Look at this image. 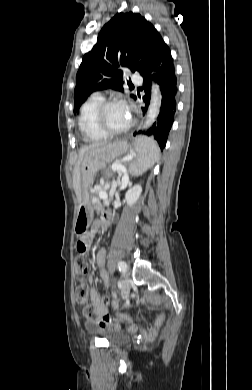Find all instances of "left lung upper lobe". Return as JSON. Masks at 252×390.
Instances as JSON below:
<instances>
[{
  "mask_svg": "<svg viewBox=\"0 0 252 390\" xmlns=\"http://www.w3.org/2000/svg\"><path fill=\"white\" fill-rule=\"evenodd\" d=\"M162 41L159 32L140 14H116L83 57L77 72L74 112L94 91L112 88L123 92L122 68L142 74Z\"/></svg>",
  "mask_w": 252,
  "mask_h": 390,
  "instance_id": "5c2ea615",
  "label": "left lung upper lobe"
}]
</instances>
